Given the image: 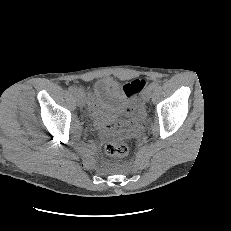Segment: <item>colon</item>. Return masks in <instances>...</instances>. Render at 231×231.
<instances>
[{"label":"colon","instance_id":"5ec220e1","mask_svg":"<svg viewBox=\"0 0 231 231\" xmlns=\"http://www.w3.org/2000/svg\"><path fill=\"white\" fill-rule=\"evenodd\" d=\"M144 84H145L144 81L134 80L125 86V91L129 95H136L140 93V91L143 89ZM139 106H140V100L135 99L132 103L131 108L135 109L138 108ZM105 151L110 156L124 157L129 153V147L124 142L113 141L106 145Z\"/></svg>","mask_w":231,"mask_h":231}]
</instances>
